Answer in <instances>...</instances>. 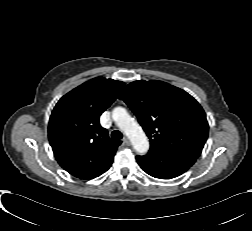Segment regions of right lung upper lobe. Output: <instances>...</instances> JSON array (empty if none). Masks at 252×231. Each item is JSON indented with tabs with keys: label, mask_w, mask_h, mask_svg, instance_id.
Masks as SVG:
<instances>
[{
	"label": "right lung upper lobe",
	"mask_w": 252,
	"mask_h": 231,
	"mask_svg": "<svg viewBox=\"0 0 252 231\" xmlns=\"http://www.w3.org/2000/svg\"><path fill=\"white\" fill-rule=\"evenodd\" d=\"M124 82L94 78L64 95L52 111L48 137L60 166L80 179H92L112 165L121 141L100 126V115L115 101Z\"/></svg>",
	"instance_id": "cb5924a9"
}]
</instances>
